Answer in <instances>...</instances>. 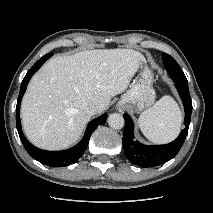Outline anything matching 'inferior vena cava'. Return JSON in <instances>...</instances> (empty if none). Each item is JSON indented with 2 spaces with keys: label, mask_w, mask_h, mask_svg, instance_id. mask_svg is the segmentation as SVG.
Wrapping results in <instances>:
<instances>
[{
  "label": "inferior vena cava",
  "mask_w": 213,
  "mask_h": 213,
  "mask_svg": "<svg viewBox=\"0 0 213 213\" xmlns=\"http://www.w3.org/2000/svg\"><path fill=\"white\" fill-rule=\"evenodd\" d=\"M86 112H87L89 115H94V114L100 112V108H99L98 104H96V103H91V104H89V105L87 106Z\"/></svg>",
  "instance_id": "1"
}]
</instances>
